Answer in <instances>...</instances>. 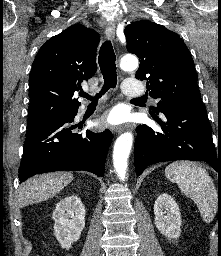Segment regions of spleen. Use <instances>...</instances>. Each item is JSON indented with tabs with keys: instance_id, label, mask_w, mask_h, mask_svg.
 I'll return each instance as SVG.
<instances>
[{
	"instance_id": "spleen-1",
	"label": "spleen",
	"mask_w": 221,
	"mask_h": 256,
	"mask_svg": "<svg viewBox=\"0 0 221 256\" xmlns=\"http://www.w3.org/2000/svg\"><path fill=\"white\" fill-rule=\"evenodd\" d=\"M166 177L198 207L202 219L210 223L217 212V190L206 169L191 161H176L165 168Z\"/></svg>"
}]
</instances>
